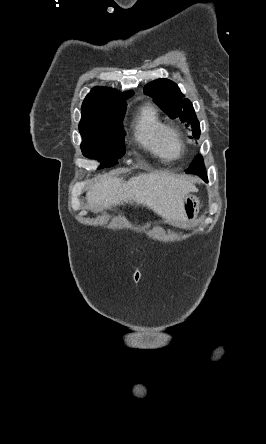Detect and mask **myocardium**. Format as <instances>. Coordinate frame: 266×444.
<instances>
[{
    "label": "myocardium",
    "instance_id": "obj_1",
    "mask_svg": "<svg viewBox=\"0 0 266 444\" xmlns=\"http://www.w3.org/2000/svg\"><path fill=\"white\" fill-rule=\"evenodd\" d=\"M169 132H173L174 134H176V136H177L178 139H179V142H180V151H179V153H178L177 155H172V154L168 151V149H167V147H166V145H165V141H164V139H165V135H166L167 133H169ZM159 144H160V147H161L162 151L165 153V155H166L167 157L181 156V155H183V153H184V151H185V140H184V137H183L182 133L180 132V130H179L177 127L173 126V125L164 124V125L161 127V129H160V131H159Z\"/></svg>",
    "mask_w": 266,
    "mask_h": 444
}]
</instances>
